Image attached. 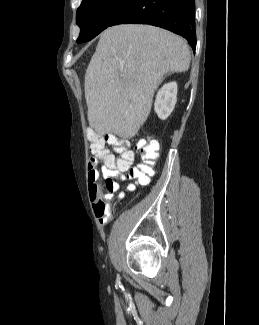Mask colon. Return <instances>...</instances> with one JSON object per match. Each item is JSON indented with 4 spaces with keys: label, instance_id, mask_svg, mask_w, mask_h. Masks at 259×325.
<instances>
[{
    "label": "colon",
    "instance_id": "1",
    "mask_svg": "<svg viewBox=\"0 0 259 325\" xmlns=\"http://www.w3.org/2000/svg\"><path fill=\"white\" fill-rule=\"evenodd\" d=\"M87 138L90 143V151L96 156L103 157L108 153L106 144L111 145L117 152L121 153L117 175L106 179V188L110 193L117 190V181L122 178V172L128 169L129 179H133L141 185L148 184L159 158V144L156 140L143 139L136 144V150L140 154L141 161L130 167L133 153L128 149L127 140L112 134L102 135L92 129L87 131Z\"/></svg>",
    "mask_w": 259,
    "mask_h": 325
}]
</instances>
